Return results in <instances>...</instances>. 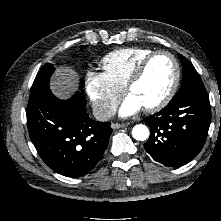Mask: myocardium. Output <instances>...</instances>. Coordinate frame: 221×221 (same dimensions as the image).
Here are the masks:
<instances>
[{
  "label": "myocardium",
  "instance_id": "f54148a6",
  "mask_svg": "<svg viewBox=\"0 0 221 221\" xmlns=\"http://www.w3.org/2000/svg\"><path fill=\"white\" fill-rule=\"evenodd\" d=\"M167 55L171 58V60L173 61L174 64V78L172 81V84L169 88V90L167 91V93L156 103L146 106L144 107V109L148 112H155L158 111L162 108H164L174 97L178 86H179V82H180V78H181V67H180V63L178 61V59L176 58V56L171 53L168 50H156L151 52L150 54H148L146 57H144L139 64L136 66L134 72L132 73L131 77L129 78L126 86H125V92L130 94L131 89L133 88V86L135 84H137L142 77L144 76V73L149 65V63L158 55Z\"/></svg>",
  "mask_w": 221,
  "mask_h": 221
}]
</instances>
